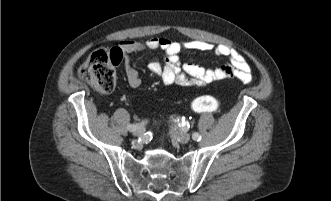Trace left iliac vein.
<instances>
[{
	"label": "left iliac vein",
	"mask_w": 331,
	"mask_h": 201,
	"mask_svg": "<svg viewBox=\"0 0 331 201\" xmlns=\"http://www.w3.org/2000/svg\"><path fill=\"white\" fill-rule=\"evenodd\" d=\"M176 139L181 143H188L191 137L188 133H180L176 136Z\"/></svg>",
	"instance_id": "1"
}]
</instances>
